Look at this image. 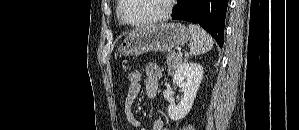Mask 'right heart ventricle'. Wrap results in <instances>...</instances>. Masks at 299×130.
<instances>
[{
	"instance_id": "1",
	"label": "right heart ventricle",
	"mask_w": 299,
	"mask_h": 130,
	"mask_svg": "<svg viewBox=\"0 0 299 130\" xmlns=\"http://www.w3.org/2000/svg\"><path fill=\"white\" fill-rule=\"evenodd\" d=\"M118 7H119V3H118V6H117V10H118Z\"/></svg>"
}]
</instances>
